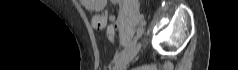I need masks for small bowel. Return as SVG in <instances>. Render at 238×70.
Returning a JSON list of instances; mask_svg holds the SVG:
<instances>
[{
    "mask_svg": "<svg viewBox=\"0 0 238 70\" xmlns=\"http://www.w3.org/2000/svg\"><path fill=\"white\" fill-rule=\"evenodd\" d=\"M84 8L95 14L92 16L91 23L96 29H103L108 21L114 22L115 16L101 13L104 9L106 0H80ZM113 3H119L118 0H113Z\"/></svg>",
    "mask_w": 238,
    "mask_h": 70,
    "instance_id": "obj_1",
    "label": "small bowel"
}]
</instances>
